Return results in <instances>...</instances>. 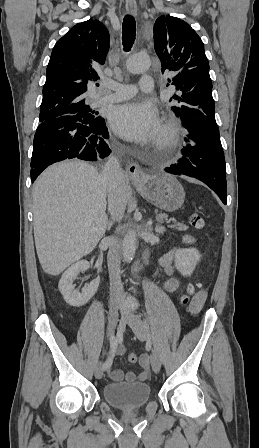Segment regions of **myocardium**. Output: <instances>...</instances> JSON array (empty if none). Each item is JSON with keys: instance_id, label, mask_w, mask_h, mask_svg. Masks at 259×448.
Instances as JSON below:
<instances>
[{"instance_id": "obj_1", "label": "myocardium", "mask_w": 259, "mask_h": 448, "mask_svg": "<svg viewBox=\"0 0 259 448\" xmlns=\"http://www.w3.org/2000/svg\"><path fill=\"white\" fill-rule=\"evenodd\" d=\"M178 123L175 118L168 117L160 131V135L156 141L158 147H172L175 145L178 137Z\"/></svg>"}]
</instances>
